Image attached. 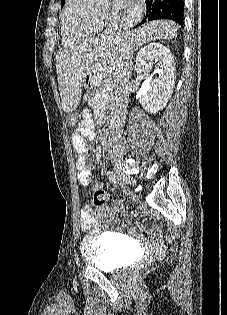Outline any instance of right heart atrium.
Instances as JSON below:
<instances>
[{"instance_id": "1", "label": "right heart atrium", "mask_w": 227, "mask_h": 315, "mask_svg": "<svg viewBox=\"0 0 227 315\" xmlns=\"http://www.w3.org/2000/svg\"><path fill=\"white\" fill-rule=\"evenodd\" d=\"M116 15H117V12L111 9H104L97 12V18L102 24V26L106 25Z\"/></svg>"}]
</instances>
